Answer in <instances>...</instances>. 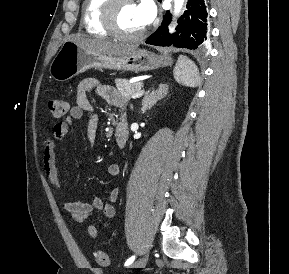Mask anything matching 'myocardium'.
Instances as JSON below:
<instances>
[{
	"mask_svg": "<svg viewBox=\"0 0 289 274\" xmlns=\"http://www.w3.org/2000/svg\"><path fill=\"white\" fill-rule=\"evenodd\" d=\"M134 3V0H107L102 9L101 20L104 28L109 32L110 35L121 40L132 41L140 39L146 34V27L136 33H125L118 27L117 13L120 6L123 4Z\"/></svg>",
	"mask_w": 289,
	"mask_h": 274,
	"instance_id": "myocardium-1",
	"label": "myocardium"
}]
</instances>
